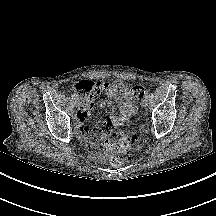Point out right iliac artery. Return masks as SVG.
Returning <instances> with one entry per match:
<instances>
[{"label":"right iliac artery","mask_w":216,"mask_h":216,"mask_svg":"<svg viewBox=\"0 0 216 216\" xmlns=\"http://www.w3.org/2000/svg\"><path fill=\"white\" fill-rule=\"evenodd\" d=\"M71 97H72L73 100L77 99V96L75 94H72Z\"/></svg>","instance_id":"right-iliac-artery-1"}]
</instances>
